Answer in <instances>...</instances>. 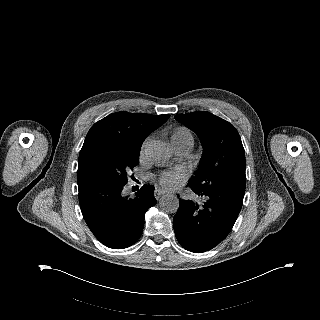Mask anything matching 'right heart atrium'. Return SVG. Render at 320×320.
<instances>
[{"instance_id":"1","label":"right heart atrium","mask_w":320,"mask_h":320,"mask_svg":"<svg viewBox=\"0 0 320 320\" xmlns=\"http://www.w3.org/2000/svg\"><path fill=\"white\" fill-rule=\"evenodd\" d=\"M145 145H146V141L144 142V144H143V146H142V148H141V154H143Z\"/></svg>"}]
</instances>
